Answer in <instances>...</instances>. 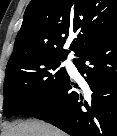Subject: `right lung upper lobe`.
Segmentation results:
<instances>
[{"label": "right lung upper lobe", "mask_w": 117, "mask_h": 136, "mask_svg": "<svg viewBox=\"0 0 117 136\" xmlns=\"http://www.w3.org/2000/svg\"><path fill=\"white\" fill-rule=\"evenodd\" d=\"M117 33V0H32L24 13L9 63L34 55L66 58ZM75 35L70 50L63 46Z\"/></svg>", "instance_id": "cb5924a9"}]
</instances>
